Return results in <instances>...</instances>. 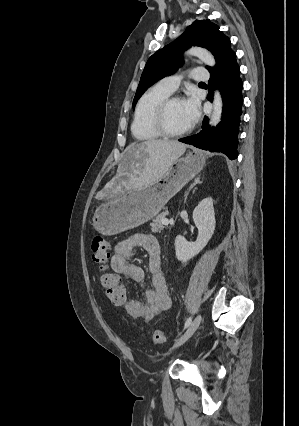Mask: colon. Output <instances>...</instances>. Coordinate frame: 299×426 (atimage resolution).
Listing matches in <instances>:
<instances>
[{
  "mask_svg": "<svg viewBox=\"0 0 299 426\" xmlns=\"http://www.w3.org/2000/svg\"><path fill=\"white\" fill-rule=\"evenodd\" d=\"M110 247V242L107 239L101 235H96L91 243L92 259L100 268V282L105 289L106 297L113 305L123 306L127 299V290L119 276L110 270ZM152 339L156 344L167 342L166 335L159 330L152 333Z\"/></svg>",
  "mask_w": 299,
  "mask_h": 426,
  "instance_id": "5ec220e1",
  "label": "colon"
}]
</instances>
